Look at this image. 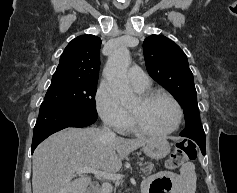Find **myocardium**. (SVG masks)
Returning a JSON list of instances; mask_svg holds the SVG:
<instances>
[{"mask_svg":"<svg viewBox=\"0 0 237 193\" xmlns=\"http://www.w3.org/2000/svg\"><path fill=\"white\" fill-rule=\"evenodd\" d=\"M157 97H165L174 104V106L177 110V120H176L175 125L172 128H170L168 130H164V131L150 130V129H147V128L143 127L142 125H140L137 122L135 116L129 111L130 126L135 132L142 134V135H146V136L163 137V136H167V135H170V134L176 132L180 128V126L183 122L184 113H183V109H182L180 103L176 100V98L174 96H172L171 94H169L165 91L158 90V91L145 92L139 96V99L142 103L146 104Z\"/></svg>","mask_w":237,"mask_h":193,"instance_id":"f54148a6","label":"myocardium"}]
</instances>
